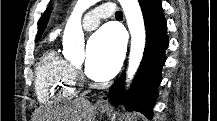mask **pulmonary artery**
Instances as JSON below:
<instances>
[{"label":"pulmonary artery","mask_w":217,"mask_h":121,"mask_svg":"<svg viewBox=\"0 0 217 121\" xmlns=\"http://www.w3.org/2000/svg\"><path fill=\"white\" fill-rule=\"evenodd\" d=\"M114 9L113 3H105L89 11L82 20L83 28L87 31L96 29L101 20L113 16Z\"/></svg>","instance_id":"e3ab8cb5"}]
</instances>
